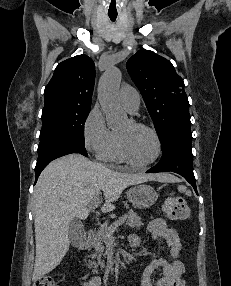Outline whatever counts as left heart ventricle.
I'll list each match as a JSON object with an SVG mask.
<instances>
[{
  "label": "left heart ventricle",
  "mask_w": 231,
  "mask_h": 286,
  "mask_svg": "<svg viewBox=\"0 0 231 286\" xmlns=\"http://www.w3.org/2000/svg\"><path fill=\"white\" fill-rule=\"evenodd\" d=\"M116 134L121 140L126 155L132 161L142 164L154 156L155 141L147 130L135 127L126 121L116 130Z\"/></svg>",
  "instance_id": "b2bd125f"
}]
</instances>
